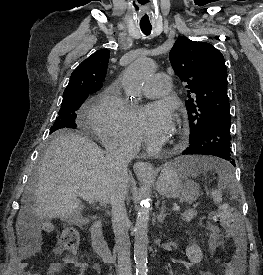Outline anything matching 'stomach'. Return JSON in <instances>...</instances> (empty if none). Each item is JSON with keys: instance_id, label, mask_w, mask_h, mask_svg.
<instances>
[{"instance_id": "stomach-1", "label": "stomach", "mask_w": 263, "mask_h": 275, "mask_svg": "<svg viewBox=\"0 0 263 275\" xmlns=\"http://www.w3.org/2000/svg\"><path fill=\"white\" fill-rule=\"evenodd\" d=\"M156 188L161 195L179 198L183 202H192L198 196V190L182 183L174 163L165 166L156 182Z\"/></svg>"}]
</instances>
